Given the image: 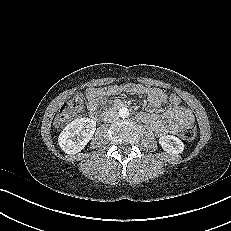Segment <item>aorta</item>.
<instances>
[{"label": "aorta", "instance_id": "obj_1", "mask_svg": "<svg viewBox=\"0 0 231 231\" xmlns=\"http://www.w3.org/2000/svg\"><path fill=\"white\" fill-rule=\"evenodd\" d=\"M118 114L121 118H126L129 116V110L126 107H122L119 109Z\"/></svg>", "mask_w": 231, "mask_h": 231}]
</instances>
